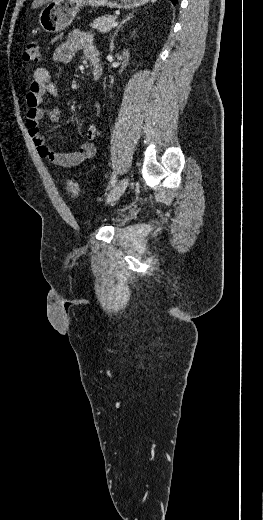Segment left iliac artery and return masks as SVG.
I'll return each mask as SVG.
<instances>
[{
  "label": "left iliac artery",
  "mask_w": 263,
  "mask_h": 520,
  "mask_svg": "<svg viewBox=\"0 0 263 520\" xmlns=\"http://www.w3.org/2000/svg\"><path fill=\"white\" fill-rule=\"evenodd\" d=\"M117 181L116 175L113 174L110 181V187H113Z\"/></svg>",
  "instance_id": "obj_1"
}]
</instances>
